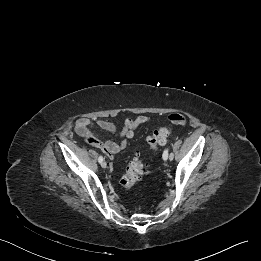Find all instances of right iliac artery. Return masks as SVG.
Returning <instances> with one entry per match:
<instances>
[{
	"instance_id": "obj_1",
	"label": "right iliac artery",
	"mask_w": 261,
	"mask_h": 261,
	"mask_svg": "<svg viewBox=\"0 0 261 261\" xmlns=\"http://www.w3.org/2000/svg\"><path fill=\"white\" fill-rule=\"evenodd\" d=\"M98 161H99V162H102V161H103V157H102L101 155L99 156Z\"/></svg>"
}]
</instances>
